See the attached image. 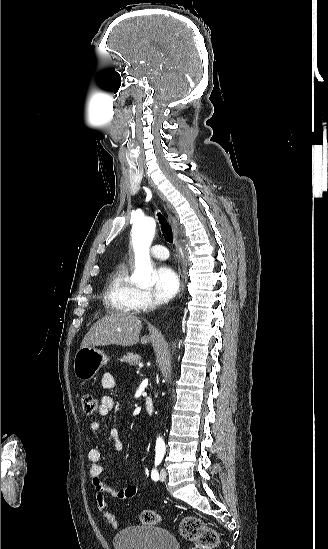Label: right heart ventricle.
I'll use <instances>...</instances> for the list:
<instances>
[{
    "mask_svg": "<svg viewBox=\"0 0 328 549\" xmlns=\"http://www.w3.org/2000/svg\"><path fill=\"white\" fill-rule=\"evenodd\" d=\"M103 303V310H110V319H117L118 310H135L138 319L145 303L143 290L131 281L127 263L119 265L110 276Z\"/></svg>",
    "mask_w": 328,
    "mask_h": 549,
    "instance_id": "obj_1",
    "label": "right heart ventricle"
}]
</instances>
